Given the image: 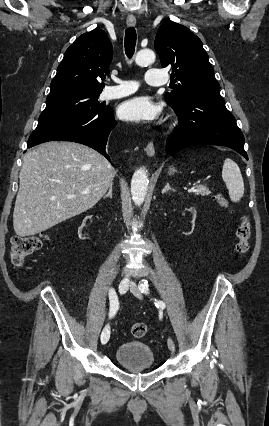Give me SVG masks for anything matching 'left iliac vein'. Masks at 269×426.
I'll list each match as a JSON object with an SVG mask.
<instances>
[{"label":"left iliac vein","instance_id":"left-iliac-vein-1","mask_svg":"<svg viewBox=\"0 0 269 426\" xmlns=\"http://www.w3.org/2000/svg\"><path fill=\"white\" fill-rule=\"evenodd\" d=\"M130 291L136 297H138V298L142 297L139 288L137 287V285L134 282L130 283ZM167 345H168V348L171 352H175V344H174V341L171 338H168Z\"/></svg>","mask_w":269,"mask_h":426}]
</instances>
